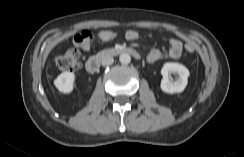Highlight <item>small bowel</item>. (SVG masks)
Listing matches in <instances>:
<instances>
[{
    "mask_svg": "<svg viewBox=\"0 0 244 157\" xmlns=\"http://www.w3.org/2000/svg\"><path fill=\"white\" fill-rule=\"evenodd\" d=\"M138 37L139 33L134 29H129L125 33V38L128 41H135ZM182 50V42L179 39L171 38L169 40V49L166 53L160 49L154 48L149 52L147 60L149 63L154 64L164 58L177 59L181 56Z\"/></svg>",
    "mask_w": 244,
    "mask_h": 157,
    "instance_id": "obj_1",
    "label": "small bowel"
}]
</instances>
